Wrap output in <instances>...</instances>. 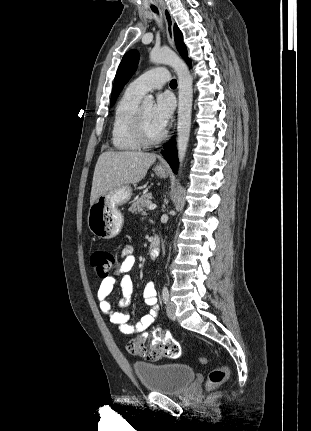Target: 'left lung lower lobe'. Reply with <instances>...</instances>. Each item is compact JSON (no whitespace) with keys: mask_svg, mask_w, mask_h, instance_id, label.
Listing matches in <instances>:
<instances>
[{"mask_svg":"<svg viewBox=\"0 0 311 431\" xmlns=\"http://www.w3.org/2000/svg\"><path fill=\"white\" fill-rule=\"evenodd\" d=\"M188 65L191 66L190 60L187 61ZM162 154L166 161L170 164L172 170L176 173L178 167L177 151L175 148V141L171 139L164 147Z\"/></svg>","mask_w":311,"mask_h":431,"instance_id":"0a47b994","label":"left lung lower lobe"}]
</instances>
